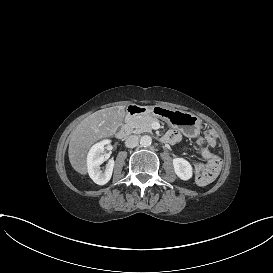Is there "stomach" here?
I'll return each instance as SVG.
<instances>
[{"mask_svg": "<svg viewBox=\"0 0 273 273\" xmlns=\"http://www.w3.org/2000/svg\"><path fill=\"white\" fill-rule=\"evenodd\" d=\"M146 114L164 120L170 127L178 130L187 138L200 135L202 120L187 111L169 109L161 105L146 106Z\"/></svg>", "mask_w": 273, "mask_h": 273, "instance_id": "1", "label": "stomach"}]
</instances>
